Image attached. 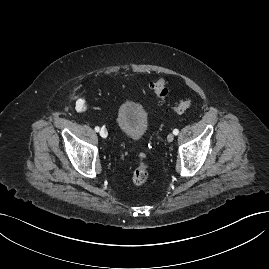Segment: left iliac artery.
Listing matches in <instances>:
<instances>
[{
    "mask_svg": "<svg viewBox=\"0 0 269 269\" xmlns=\"http://www.w3.org/2000/svg\"><path fill=\"white\" fill-rule=\"evenodd\" d=\"M178 133H179V130H178V129H174V130H173V134H174V135H178Z\"/></svg>",
    "mask_w": 269,
    "mask_h": 269,
    "instance_id": "1",
    "label": "left iliac artery"
}]
</instances>
